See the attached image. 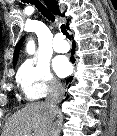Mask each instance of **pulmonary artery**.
I'll list each match as a JSON object with an SVG mask.
<instances>
[{
	"label": "pulmonary artery",
	"mask_w": 117,
	"mask_h": 136,
	"mask_svg": "<svg viewBox=\"0 0 117 136\" xmlns=\"http://www.w3.org/2000/svg\"><path fill=\"white\" fill-rule=\"evenodd\" d=\"M53 49L58 53H65L69 50V44L60 36H56L53 41Z\"/></svg>",
	"instance_id": "pulmonary-artery-1"
}]
</instances>
